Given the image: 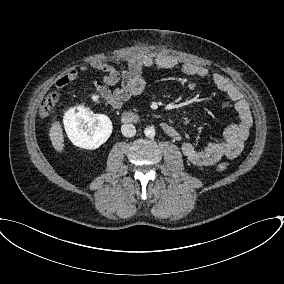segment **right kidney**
I'll use <instances>...</instances> for the list:
<instances>
[{
	"instance_id": "right-kidney-1",
	"label": "right kidney",
	"mask_w": 284,
	"mask_h": 284,
	"mask_svg": "<svg viewBox=\"0 0 284 284\" xmlns=\"http://www.w3.org/2000/svg\"><path fill=\"white\" fill-rule=\"evenodd\" d=\"M64 127L70 141L83 149H96L112 133V122L104 114H93L82 105L71 108L64 115Z\"/></svg>"
}]
</instances>
